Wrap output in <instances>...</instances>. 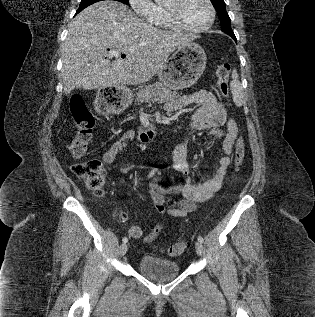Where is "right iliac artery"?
<instances>
[{
  "label": "right iliac artery",
  "mask_w": 315,
  "mask_h": 317,
  "mask_svg": "<svg viewBox=\"0 0 315 317\" xmlns=\"http://www.w3.org/2000/svg\"><path fill=\"white\" fill-rule=\"evenodd\" d=\"M155 171H156V169H153L151 172H150V174H149V178L150 177H152L154 174H155ZM127 241H128V239H127V237H124L123 239H122V242L123 243H127Z\"/></svg>",
  "instance_id": "82829eb1"
}]
</instances>
